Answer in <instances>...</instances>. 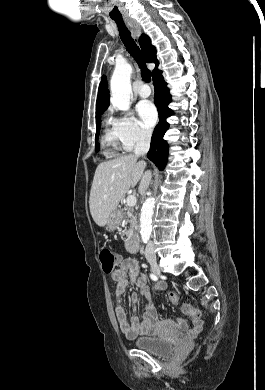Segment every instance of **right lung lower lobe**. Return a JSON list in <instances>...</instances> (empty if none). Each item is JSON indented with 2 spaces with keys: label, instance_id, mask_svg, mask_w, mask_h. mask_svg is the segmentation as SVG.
Returning a JSON list of instances; mask_svg holds the SVG:
<instances>
[{
  "label": "right lung lower lobe",
  "instance_id": "1",
  "mask_svg": "<svg viewBox=\"0 0 265 390\" xmlns=\"http://www.w3.org/2000/svg\"><path fill=\"white\" fill-rule=\"evenodd\" d=\"M152 78L155 90L154 102L157 106L160 120L153 132L151 147L147 157L159 168V170H163L168 159V144L163 139L165 132L169 129L166 118L170 117L173 114V111L168 108V104L171 102V95L167 88V83L162 76V71L156 73Z\"/></svg>",
  "mask_w": 265,
  "mask_h": 390
}]
</instances>
